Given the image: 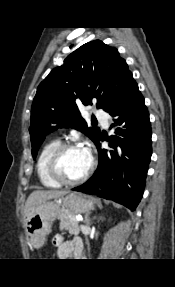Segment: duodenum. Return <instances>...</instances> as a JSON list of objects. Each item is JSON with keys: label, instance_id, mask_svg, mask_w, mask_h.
<instances>
[{"label": "duodenum", "instance_id": "duodenum-1", "mask_svg": "<svg viewBox=\"0 0 175 287\" xmlns=\"http://www.w3.org/2000/svg\"><path fill=\"white\" fill-rule=\"evenodd\" d=\"M76 257H78V258H79V257H81V254H80V255H78V256H76Z\"/></svg>", "mask_w": 175, "mask_h": 287}]
</instances>
